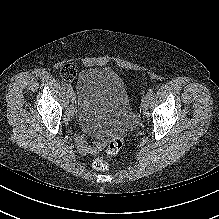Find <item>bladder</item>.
I'll list each match as a JSON object with an SVG mask.
<instances>
[{
    "label": "bladder",
    "mask_w": 219,
    "mask_h": 219,
    "mask_svg": "<svg viewBox=\"0 0 219 219\" xmlns=\"http://www.w3.org/2000/svg\"><path fill=\"white\" fill-rule=\"evenodd\" d=\"M76 93V121L82 129L113 135L132 124L126 87L114 70L105 67L84 69L78 77Z\"/></svg>",
    "instance_id": "1"
}]
</instances>
